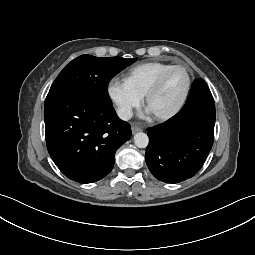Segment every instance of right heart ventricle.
<instances>
[{
	"mask_svg": "<svg viewBox=\"0 0 255 255\" xmlns=\"http://www.w3.org/2000/svg\"><path fill=\"white\" fill-rule=\"evenodd\" d=\"M172 66V64L163 62L142 63L129 71L126 81L143 97L157 78Z\"/></svg>",
	"mask_w": 255,
	"mask_h": 255,
	"instance_id": "obj_1",
	"label": "right heart ventricle"
}]
</instances>
